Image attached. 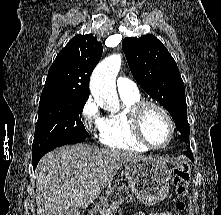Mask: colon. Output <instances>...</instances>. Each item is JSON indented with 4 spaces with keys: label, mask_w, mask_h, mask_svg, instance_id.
I'll return each mask as SVG.
<instances>
[{
    "label": "colon",
    "mask_w": 221,
    "mask_h": 215,
    "mask_svg": "<svg viewBox=\"0 0 221 215\" xmlns=\"http://www.w3.org/2000/svg\"><path fill=\"white\" fill-rule=\"evenodd\" d=\"M190 179L191 174L187 164H182L174 169L175 191L177 196L180 198V200L177 202V208L179 210H183L185 207L182 198H184L188 192Z\"/></svg>",
    "instance_id": "1"
}]
</instances>
